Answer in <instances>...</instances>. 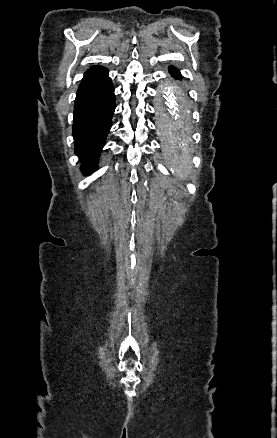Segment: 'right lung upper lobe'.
<instances>
[{"label": "right lung upper lobe", "mask_w": 277, "mask_h": 438, "mask_svg": "<svg viewBox=\"0 0 277 438\" xmlns=\"http://www.w3.org/2000/svg\"><path fill=\"white\" fill-rule=\"evenodd\" d=\"M106 71L105 68L101 67V66H93L91 67L88 71L85 72L84 74V78L99 74Z\"/></svg>", "instance_id": "cb5924a9"}]
</instances>
